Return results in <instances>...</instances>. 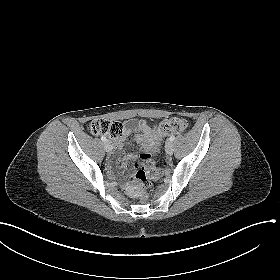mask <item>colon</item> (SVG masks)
<instances>
[{
	"label": "colon",
	"mask_w": 280,
	"mask_h": 280,
	"mask_svg": "<svg viewBox=\"0 0 280 280\" xmlns=\"http://www.w3.org/2000/svg\"><path fill=\"white\" fill-rule=\"evenodd\" d=\"M122 128L120 122L102 118L91 121L88 126L89 132L93 135H107L113 138L122 134ZM185 128L186 123L182 118L172 117L161 122L155 132L158 136H162L170 133H180ZM148 158H144V165L139 166L134 173L135 181L141 186L139 197L143 202H146L149 198L146 191L148 178L157 179L161 176V171Z\"/></svg>",
	"instance_id": "colon-1"
}]
</instances>
